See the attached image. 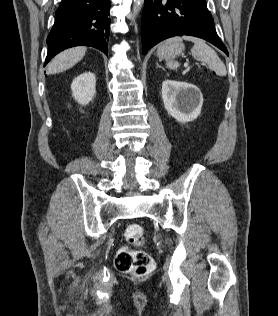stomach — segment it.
I'll list each match as a JSON object with an SVG mask.
<instances>
[{"label":"stomach","instance_id":"0dacf381","mask_svg":"<svg viewBox=\"0 0 278 316\" xmlns=\"http://www.w3.org/2000/svg\"><path fill=\"white\" fill-rule=\"evenodd\" d=\"M184 45L175 41L167 45H162L157 50V55L160 59H172L183 53Z\"/></svg>","mask_w":278,"mask_h":316}]
</instances>
